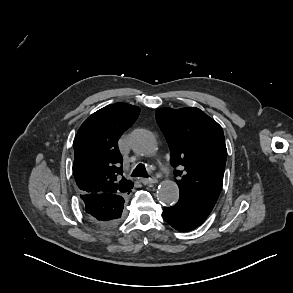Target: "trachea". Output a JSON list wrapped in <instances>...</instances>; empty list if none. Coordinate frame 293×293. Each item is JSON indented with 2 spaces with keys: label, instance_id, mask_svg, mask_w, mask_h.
<instances>
[{
  "label": "trachea",
  "instance_id": "1",
  "mask_svg": "<svg viewBox=\"0 0 293 293\" xmlns=\"http://www.w3.org/2000/svg\"><path fill=\"white\" fill-rule=\"evenodd\" d=\"M132 177H148L146 168L143 164H138L132 173Z\"/></svg>",
  "mask_w": 293,
  "mask_h": 293
}]
</instances>
